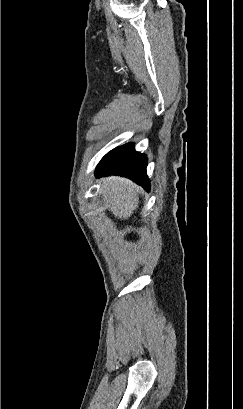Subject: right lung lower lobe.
<instances>
[{
  "label": "right lung lower lobe",
  "mask_w": 243,
  "mask_h": 409,
  "mask_svg": "<svg viewBox=\"0 0 243 409\" xmlns=\"http://www.w3.org/2000/svg\"><path fill=\"white\" fill-rule=\"evenodd\" d=\"M146 167V155L136 152L133 144H126L107 153L97 165L95 175L97 178L107 175L125 176L149 191Z\"/></svg>",
  "instance_id": "98d812e1"
}]
</instances>
